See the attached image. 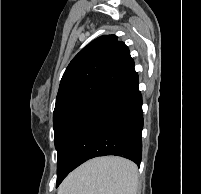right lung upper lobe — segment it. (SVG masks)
<instances>
[{"instance_id":"1","label":"right lung upper lobe","mask_w":201,"mask_h":194,"mask_svg":"<svg viewBox=\"0 0 201 194\" xmlns=\"http://www.w3.org/2000/svg\"><path fill=\"white\" fill-rule=\"evenodd\" d=\"M128 47L115 35H103L70 62L60 82L55 107L80 97H96L134 72Z\"/></svg>"}]
</instances>
